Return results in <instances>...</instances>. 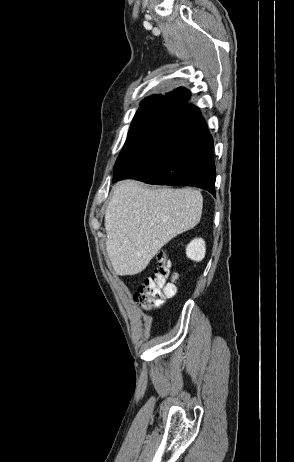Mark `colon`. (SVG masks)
I'll use <instances>...</instances> for the list:
<instances>
[{
  "mask_svg": "<svg viewBox=\"0 0 294 462\" xmlns=\"http://www.w3.org/2000/svg\"><path fill=\"white\" fill-rule=\"evenodd\" d=\"M170 268V262L165 255L159 254L158 266L154 273L144 280L134 294V301L140 307L151 310L176 294L178 275L171 274Z\"/></svg>",
  "mask_w": 294,
  "mask_h": 462,
  "instance_id": "5ec220e1",
  "label": "colon"
}]
</instances>
